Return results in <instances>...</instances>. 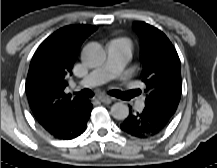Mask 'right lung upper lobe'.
I'll return each instance as SVG.
<instances>
[{"label": "right lung upper lobe", "mask_w": 217, "mask_h": 168, "mask_svg": "<svg viewBox=\"0 0 217 168\" xmlns=\"http://www.w3.org/2000/svg\"><path fill=\"white\" fill-rule=\"evenodd\" d=\"M95 30L91 25L65 26L43 41L32 57L25 88L32 113L44 129L88 104L64 90L81 44Z\"/></svg>", "instance_id": "cb5924a9"}]
</instances>
